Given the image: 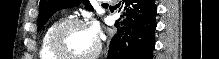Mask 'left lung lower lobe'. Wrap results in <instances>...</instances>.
Returning <instances> with one entry per match:
<instances>
[{
    "label": "left lung lower lobe",
    "instance_id": "left-lung-lower-lobe-1",
    "mask_svg": "<svg viewBox=\"0 0 219 59\" xmlns=\"http://www.w3.org/2000/svg\"><path fill=\"white\" fill-rule=\"evenodd\" d=\"M123 1L126 20L110 42L107 59H152L157 25L155 1Z\"/></svg>",
    "mask_w": 219,
    "mask_h": 59
}]
</instances>
